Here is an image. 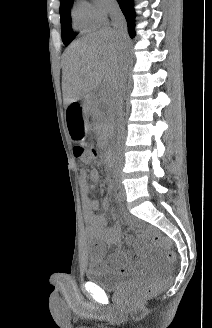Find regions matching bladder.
Segmentation results:
<instances>
[{
	"instance_id": "31cf9c89",
	"label": "bladder",
	"mask_w": 212,
	"mask_h": 328,
	"mask_svg": "<svg viewBox=\"0 0 212 328\" xmlns=\"http://www.w3.org/2000/svg\"><path fill=\"white\" fill-rule=\"evenodd\" d=\"M103 270L96 264H90L86 271V277L89 281L97 284L106 291H118L123 287L136 282L142 275L141 271H136L128 275H118Z\"/></svg>"
}]
</instances>
